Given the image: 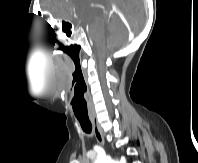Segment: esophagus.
Listing matches in <instances>:
<instances>
[{
  "label": "esophagus",
  "mask_w": 198,
  "mask_h": 163,
  "mask_svg": "<svg viewBox=\"0 0 198 163\" xmlns=\"http://www.w3.org/2000/svg\"><path fill=\"white\" fill-rule=\"evenodd\" d=\"M90 121L92 123L94 135H95L97 142L99 144L104 145V143H105L104 133H103L102 129L100 128L98 121L93 117L90 118Z\"/></svg>",
  "instance_id": "34e87169"
}]
</instances>
